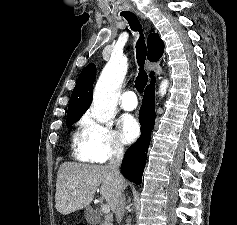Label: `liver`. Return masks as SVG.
<instances>
[{"label": "liver", "instance_id": "obj_1", "mask_svg": "<svg viewBox=\"0 0 237 225\" xmlns=\"http://www.w3.org/2000/svg\"><path fill=\"white\" fill-rule=\"evenodd\" d=\"M100 186L102 199L115 211L118 185L107 165L64 162L57 173L55 207L63 215L88 206ZM127 182L124 180L123 190Z\"/></svg>", "mask_w": 237, "mask_h": 225}]
</instances>
